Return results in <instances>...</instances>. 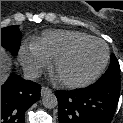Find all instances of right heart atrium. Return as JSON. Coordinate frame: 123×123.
<instances>
[{
    "label": "right heart atrium",
    "instance_id": "1",
    "mask_svg": "<svg viewBox=\"0 0 123 123\" xmlns=\"http://www.w3.org/2000/svg\"><path fill=\"white\" fill-rule=\"evenodd\" d=\"M20 62L30 77H37L49 65V60L31 47L21 49Z\"/></svg>",
    "mask_w": 123,
    "mask_h": 123
}]
</instances>
